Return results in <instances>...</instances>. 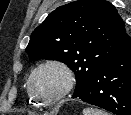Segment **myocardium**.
Masks as SVG:
<instances>
[{
	"label": "myocardium",
	"instance_id": "obj_1",
	"mask_svg": "<svg viewBox=\"0 0 131 115\" xmlns=\"http://www.w3.org/2000/svg\"><path fill=\"white\" fill-rule=\"evenodd\" d=\"M45 68H55L59 70L63 76V85L56 95L47 99H42L34 92L32 82L35 75L39 71ZM74 82H75L74 73L68 64L58 59H48L38 64L31 71L27 79V92L31 96L32 99H34L36 102L40 103L41 105L51 106V105L56 104L63 98H65L70 93V91L72 90L74 86Z\"/></svg>",
	"mask_w": 131,
	"mask_h": 115
}]
</instances>
